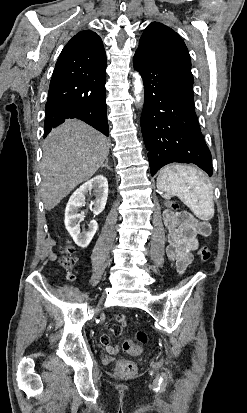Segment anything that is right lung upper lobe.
<instances>
[{"instance_id":"obj_1","label":"right lung upper lobe","mask_w":247,"mask_h":413,"mask_svg":"<svg viewBox=\"0 0 247 413\" xmlns=\"http://www.w3.org/2000/svg\"><path fill=\"white\" fill-rule=\"evenodd\" d=\"M106 66V54L101 38L91 30L77 33L65 45L55 70L86 72Z\"/></svg>"}]
</instances>
